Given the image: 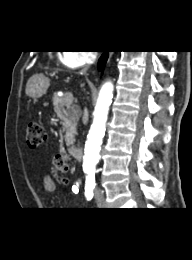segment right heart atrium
I'll return each instance as SVG.
<instances>
[{"mask_svg": "<svg viewBox=\"0 0 192 260\" xmlns=\"http://www.w3.org/2000/svg\"><path fill=\"white\" fill-rule=\"evenodd\" d=\"M92 57L88 51H63L59 54V61L66 68L77 69L88 64Z\"/></svg>", "mask_w": 192, "mask_h": 260, "instance_id": "d8ad5b80", "label": "right heart atrium"}]
</instances>
